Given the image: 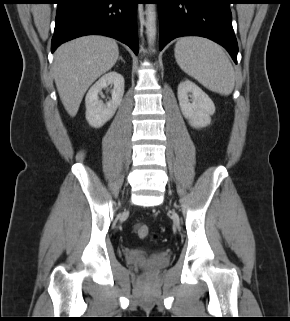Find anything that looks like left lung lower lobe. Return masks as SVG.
Instances as JSON below:
<instances>
[{"mask_svg": "<svg viewBox=\"0 0 290 321\" xmlns=\"http://www.w3.org/2000/svg\"><path fill=\"white\" fill-rule=\"evenodd\" d=\"M159 49L181 36H202L222 45L237 63L238 45L232 28L231 0H157Z\"/></svg>", "mask_w": 290, "mask_h": 321, "instance_id": "obj_1", "label": "left lung lower lobe"}]
</instances>
